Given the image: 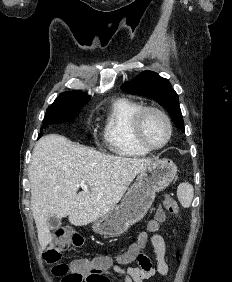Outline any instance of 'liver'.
Listing matches in <instances>:
<instances>
[{
	"mask_svg": "<svg viewBox=\"0 0 232 282\" xmlns=\"http://www.w3.org/2000/svg\"><path fill=\"white\" fill-rule=\"evenodd\" d=\"M151 162L103 154L58 134L42 137L33 150L28 174L41 249L52 238L49 216H68L76 226L96 221L117 205L136 175ZM81 182L89 190L77 194Z\"/></svg>",
	"mask_w": 232,
	"mask_h": 282,
	"instance_id": "1",
	"label": "liver"
}]
</instances>
